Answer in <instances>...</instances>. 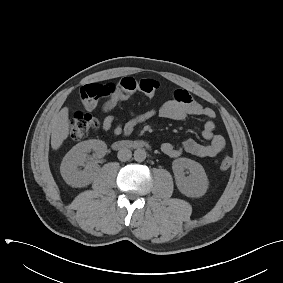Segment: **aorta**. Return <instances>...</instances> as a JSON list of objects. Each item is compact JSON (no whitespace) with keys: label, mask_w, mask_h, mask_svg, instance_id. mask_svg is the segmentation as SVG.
Instances as JSON below:
<instances>
[{"label":"aorta","mask_w":283,"mask_h":283,"mask_svg":"<svg viewBox=\"0 0 283 283\" xmlns=\"http://www.w3.org/2000/svg\"><path fill=\"white\" fill-rule=\"evenodd\" d=\"M134 159L137 162H143L146 159V151L144 149L138 148L134 151Z\"/></svg>","instance_id":"aorta-1"}]
</instances>
